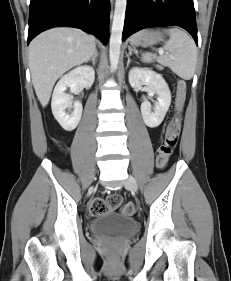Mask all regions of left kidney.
Returning <instances> with one entry per match:
<instances>
[{"label":"left kidney","instance_id":"5707ae66","mask_svg":"<svg viewBox=\"0 0 231 281\" xmlns=\"http://www.w3.org/2000/svg\"><path fill=\"white\" fill-rule=\"evenodd\" d=\"M129 83L132 87L146 85L150 97L158 95L153 111L151 103L145 100L141 104V114L148 127L159 126L171 103V92L164 78L151 69L134 67L129 71Z\"/></svg>","mask_w":231,"mask_h":281}]
</instances>
